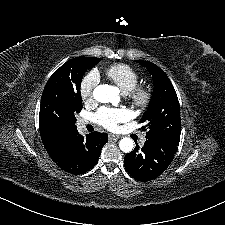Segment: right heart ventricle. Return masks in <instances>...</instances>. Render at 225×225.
<instances>
[{
    "instance_id": "obj_1",
    "label": "right heart ventricle",
    "mask_w": 225,
    "mask_h": 225,
    "mask_svg": "<svg viewBox=\"0 0 225 225\" xmlns=\"http://www.w3.org/2000/svg\"><path fill=\"white\" fill-rule=\"evenodd\" d=\"M106 76L111 79L122 91L127 94L139 82L137 71L127 64H115L105 70Z\"/></svg>"
}]
</instances>
